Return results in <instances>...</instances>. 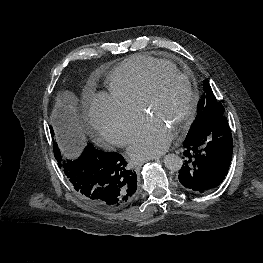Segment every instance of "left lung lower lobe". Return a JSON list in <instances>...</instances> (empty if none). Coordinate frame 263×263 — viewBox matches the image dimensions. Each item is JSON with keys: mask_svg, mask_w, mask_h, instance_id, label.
<instances>
[{"mask_svg": "<svg viewBox=\"0 0 263 263\" xmlns=\"http://www.w3.org/2000/svg\"><path fill=\"white\" fill-rule=\"evenodd\" d=\"M180 183L194 193H208L225 179L233 153V139L225 115L210 120L183 142Z\"/></svg>", "mask_w": 263, "mask_h": 263, "instance_id": "1", "label": "left lung lower lobe"}]
</instances>
